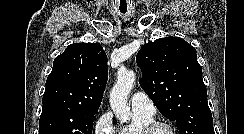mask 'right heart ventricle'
Here are the masks:
<instances>
[{"label": "right heart ventricle", "mask_w": 244, "mask_h": 134, "mask_svg": "<svg viewBox=\"0 0 244 134\" xmlns=\"http://www.w3.org/2000/svg\"><path fill=\"white\" fill-rule=\"evenodd\" d=\"M135 121L128 127H122L116 131V134H140L143 126L153 122V116H148L142 113L134 112Z\"/></svg>", "instance_id": "e07e8e85"}]
</instances>
